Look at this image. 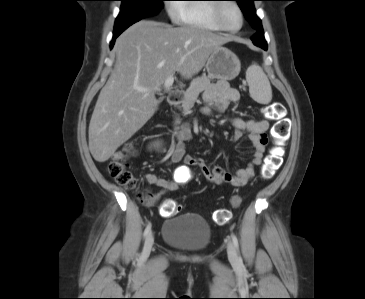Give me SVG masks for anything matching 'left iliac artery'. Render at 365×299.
<instances>
[{
    "label": "left iliac artery",
    "instance_id": "left-iliac-artery-1",
    "mask_svg": "<svg viewBox=\"0 0 365 299\" xmlns=\"http://www.w3.org/2000/svg\"><path fill=\"white\" fill-rule=\"evenodd\" d=\"M232 240H233L234 246H235V248H236V250L238 252L239 251L238 239H237V237L234 234H232ZM238 260H239L240 263H242V259H241L240 256L238 257Z\"/></svg>",
    "mask_w": 365,
    "mask_h": 299
}]
</instances>
